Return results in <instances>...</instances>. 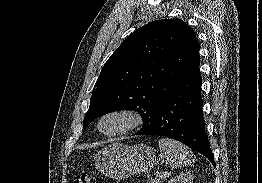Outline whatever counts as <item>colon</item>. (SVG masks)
I'll use <instances>...</instances> for the list:
<instances>
[{"label":"colon","instance_id":"obj_1","mask_svg":"<svg viewBox=\"0 0 262 183\" xmlns=\"http://www.w3.org/2000/svg\"><path fill=\"white\" fill-rule=\"evenodd\" d=\"M92 178V173H81L75 178L73 183H91Z\"/></svg>","mask_w":262,"mask_h":183}]
</instances>
